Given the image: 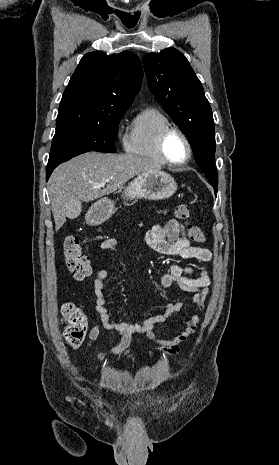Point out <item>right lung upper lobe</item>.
<instances>
[{"label": "right lung upper lobe", "instance_id": "cb5924a9", "mask_svg": "<svg viewBox=\"0 0 279 465\" xmlns=\"http://www.w3.org/2000/svg\"><path fill=\"white\" fill-rule=\"evenodd\" d=\"M142 77V65L134 53H87L64 91L56 126L101 121L112 110L128 109Z\"/></svg>", "mask_w": 279, "mask_h": 465}]
</instances>
